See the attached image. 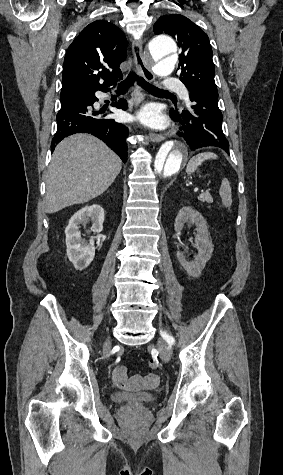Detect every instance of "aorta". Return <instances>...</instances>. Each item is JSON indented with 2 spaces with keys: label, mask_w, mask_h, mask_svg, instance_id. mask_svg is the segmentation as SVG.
<instances>
[{
  "label": "aorta",
  "mask_w": 283,
  "mask_h": 475,
  "mask_svg": "<svg viewBox=\"0 0 283 475\" xmlns=\"http://www.w3.org/2000/svg\"><path fill=\"white\" fill-rule=\"evenodd\" d=\"M150 54L155 61V73L168 76L177 61V46L174 40L165 35L157 36L149 43ZM188 157V147L182 141H167L159 148L150 169L151 186L167 183L183 167Z\"/></svg>",
  "instance_id": "obj_1"
}]
</instances>
